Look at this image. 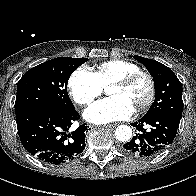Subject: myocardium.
Returning <instances> with one entry per match:
<instances>
[{"mask_svg": "<svg viewBox=\"0 0 196 196\" xmlns=\"http://www.w3.org/2000/svg\"><path fill=\"white\" fill-rule=\"evenodd\" d=\"M140 78L146 79L149 90L146 99L136 107V110L144 111L151 106L156 96V82L152 74L143 70H139L114 80L110 83V86L115 85L121 87H128Z\"/></svg>", "mask_w": 196, "mask_h": 196, "instance_id": "myocardium-1", "label": "myocardium"}]
</instances>
